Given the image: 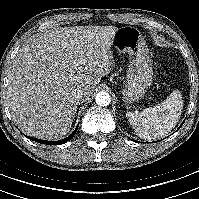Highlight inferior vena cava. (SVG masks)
Returning <instances> with one entry per match:
<instances>
[{"mask_svg":"<svg viewBox=\"0 0 199 199\" xmlns=\"http://www.w3.org/2000/svg\"><path fill=\"white\" fill-rule=\"evenodd\" d=\"M71 96L75 101L81 102L84 100L85 93L83 90L75 88L71 91Z\"/></svg>","mask_w":199,"mask_h":199,"instance_id":"inferior-vena-cava-1","label":"inferior vena cava"}]
</instances>
